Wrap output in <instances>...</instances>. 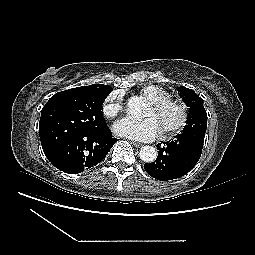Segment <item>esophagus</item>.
Here are the masks:
<instances>
[{"mask_svg": "<svg viewBox=\"0 0 255 255\" xmlns=\"http://www.w3.org/2000/svg\"><path fill=\"white\" fill-rule=\"evenodd\" d=\"M131 143H132L135 147H137V148H140V147L143 146V144H142V143H139V142L132 141Z\"/></svg>", "mask_w": 255, "mask_h": 255, "instance_id": "obj_1", "label": "esophagus"}]
</instances>
